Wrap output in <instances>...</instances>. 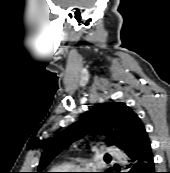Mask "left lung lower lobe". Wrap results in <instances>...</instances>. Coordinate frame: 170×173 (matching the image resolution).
Returning a JSON list of instances; mask_svg holds the SVG:
<instances>
[{
    "label": "left lung lower lobe",
    "instance_id": "left-lung-lower-lobe-1",
    "mask_svg": "<svg viewBox=\"0 0 170 173\" xmlns=\"http://www.w3.org/2000/svg\"><path fill=\"white\" fill-rule=\"evenodd\" d=\"M126 155L128 156V164L125 166V169H128L127 173H155L150 141L126 152Z\"/></svg>",
    "mask_w": 170,
    "mask_h": 173
}]
</instances>
